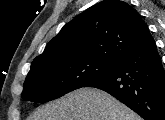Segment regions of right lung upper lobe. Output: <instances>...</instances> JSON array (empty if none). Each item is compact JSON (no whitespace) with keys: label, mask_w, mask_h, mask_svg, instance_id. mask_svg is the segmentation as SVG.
I'll use <instances>...</instances> for the list:
<instances>
[{"label":"right lung upper lobe","mask_w":165,"mask_h":120,"mask_svg":"<svg viewBox=\"0 0 165 120\" xmlns=\"http://www.w3.org/2000/svg\"><path fill=\"white\" fill-rule=\"evenodd\" d=\"M152 39L147 24L133 7L119 0H104L67 23L31 67L73 58L117 63Z\"/></svg>","instance_id":"right-lung-upper-lobe-1"}]
</instances>
